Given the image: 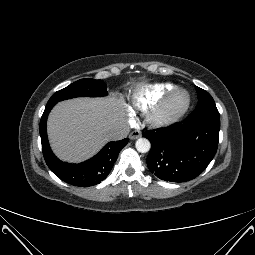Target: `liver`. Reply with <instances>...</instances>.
Returning a JSON list of instances; mask_svg holds the SVG:
<instances>
[{
	"instance_id": "1",
	"label": "liver",
	"mask_w": 255,
	"mask_h": 255,
	"mask_svg": "<svg viewBox=\"0 0 255 255\" xmlns=\"http://www.w3.org/2000/svg\"><path fill=\"white\" fill-rule=\"evenodd\" d=\"M123 121V109L115 96L66 100L49 115L48 138L58 158L77 163L97 153L111 140L109 132Z\"/></svg>"
}]
</instances>
